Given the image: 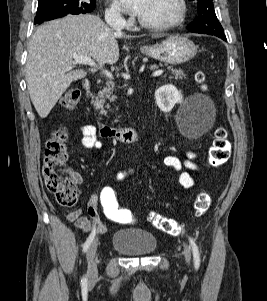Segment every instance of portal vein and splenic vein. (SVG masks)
Wrapping results in <instances>:
<instances>
[{
  "label": "portal vein and splenic vein",
  "mask_w": 267,
  "mask_h": 301,
  "mask_svg": "<svg viewBox=\"0 0 267 301\" xmlns=\"http://www.w3.org/2000/svg\"><path fill=\"white\" fill-rule=\"evenodd\" d=\"M72 57L74 59V63L75 64H85V65H89L91 67H97L96 63L90 58V57H87V56H79V55H76V54H72ZM103 73L108 77V78H113V75L112 73H110L109 71L107 70H103ZM163 74V70L162 69H158V70H155L153 73H152V76L153 77H157V76H160Z\"/></svg>",
  "instance_id": "18ae733b"
}]
</instances>
